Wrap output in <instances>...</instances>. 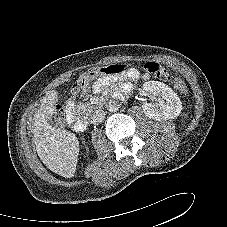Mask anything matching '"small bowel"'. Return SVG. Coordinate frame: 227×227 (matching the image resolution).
<instances>
[{"instance_id":"small-bowel-1","label":"small bowel","mask_w":227,"mask_h":227,"mask_svg":"<svg viewBox=\"0 0 227 227\" xmlns=\"http://www.w3.org/2000/svg\"><path fill=\"white\" fill-rule=\"evenodd\" d=\"M126 76L128 78H132V79H136L139 77H143V78L146 77L145 75L141 76L140 73L134 69L129 70L128 73L126 74ZM105 84H106V81L100 80L97 83H95L94 88H95V90H101L105 86Z\"/></svg>"}]
</instances>
